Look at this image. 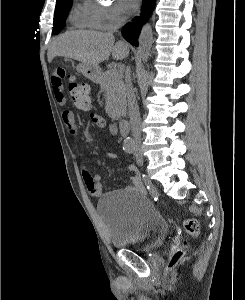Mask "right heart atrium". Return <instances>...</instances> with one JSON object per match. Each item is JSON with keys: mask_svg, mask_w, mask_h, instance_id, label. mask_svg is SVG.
<instances>
[{"mask_svg": "<svg viewBox=\"0 0 245 300\" xmlns=\"http://www.w3.org/2000/svg\"><path fill=\"white\" fill-rule=\"evenodd\" d=\"M98 27L108 30L115 27L122 18L120 8L114 3L87 0Z\"/></svg>", "mask_w": 245, "mask_h": 300, "instance_id": "right-heart-atrium-1", "label": "right heart atrium"}]
</instances>
